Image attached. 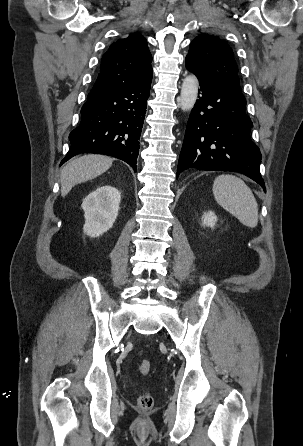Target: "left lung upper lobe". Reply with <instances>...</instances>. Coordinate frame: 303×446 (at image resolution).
<instances>
[{
    "mask_svg": "<svg viewBox=\"0 0 303 446\" xmlns=\"http://www.w3.org/2000/svg\"><path fill=\"white\" fill-rule=\"evenodd\" d=\"M186 62L199 72L215 77L242 93L234 53L218 37L209 34L197 36L190 44Z\"/></svg>",
    "mask_w": 303,
    "mask_h": 446,
    "instance_id": "5c2ea615",
    "label": "left lung upper lobe"
}]
</instances>
